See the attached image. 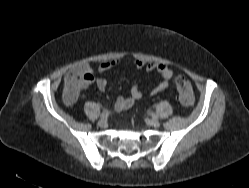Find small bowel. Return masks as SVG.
I'll return each mask as SVG.
<instances>
[{"label": "small bowel", "instance_id": "small-bowel-1", "mask_svg": "<svg viewBox=\"0 0 249 188\" xmlns=\"http://www.w3.org/2000/svg\"><path fill=\"white\" fill-rule=\"evenodd\" d=\"M118 60L103 61L99 64L98 70L106 72L118 64ZM135 66L138 69L145 68L150 73H157L161 76V80L150 90V95L158 94L170 86V79L174 77L175 72L163 63L149 62L145 63L143 60H136ZM74 70L77 71L75 76L70 73L65 78V102L70 105L75 102L79 93L96 84L99 90L104 91L107 87V80L105 78H94L90 66L86 63L76 65ZM144 93L141 91L138 83H134L130 90L129 96H122L116 99L114 108L116 111H124L131 108L138 100L143 97Z\"/></svg>", "mask_w": 249, "mask_h": 188}]
</instances>
